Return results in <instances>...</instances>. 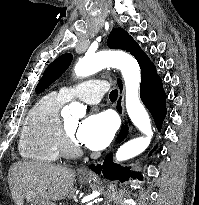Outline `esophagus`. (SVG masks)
I'll list each match as a JSON object with an SVG mask.
<instances>
[{"mask_svg":"<svg viewBox=\"0 0 199 205\" xmlns=\"http://www.w3.org/2000/svg\"><path fill=\"white\" fill-rule=\"evenodd\" d=\"M78 173L82 177H93L94 176L93 172L91 170H89V168H87V167H81L78 170Z\"/></svg>","mask_w":199,"mask_h":205,"instance_id":"esophagus-1","label":"esophagus"}]
</instances>
